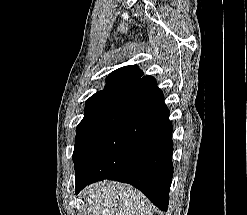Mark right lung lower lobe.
I'll return each instance as SVG.
<instances>
[{
	"label": "right lung lower lobe",
	"mask_w": 247,
	"mask_h": 215,
	"mask_svg": "<svg viewBox=\"0 0 247 215\" xmlns=\"http://www.w3.org/2000/svg\"><path fill=\"white\" fill-rule=\"evenodd\" d=\"M172 122L154 77L126 89L94 125L76 156V194L111 179L133 185L166 211L173 176Z\"/></svg>",
	"instance_id": "right-lung-lower-lobe-1"
}]
</instances>
